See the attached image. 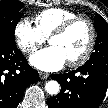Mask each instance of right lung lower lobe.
I'll use <instances>...</instances> for the list:
<instances>
[{"label": "right lung lower lobe", "mask_w": 108, "mask_h": 108, "mask_svg": "<svg viewBox=\"0 0 108 108\" xmlns=\"http://www.w3.org/2000/svg\"><path fill=\"white\" fill-rule=\"evenodd\" d=\"M38 80L16 45L0 41V108H16L26 87Z\"/></svg>", "instance_id": "1"}]
</instances>
